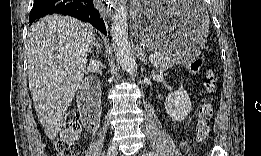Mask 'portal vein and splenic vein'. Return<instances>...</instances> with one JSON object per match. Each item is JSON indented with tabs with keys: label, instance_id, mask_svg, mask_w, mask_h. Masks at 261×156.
<instances>
[{
	"label": "portal vein and splenic vein",
	"instance_id": "18ae733b",
	"mask_svg": "<svg viewBox=\"0 0 261 156\" xmlns=\"http://www.w3.org/2000/svg\"><path fill=\"white\" fill-rule=\"evenodd\" d=\"M155 59H156V55H155V54L149 55V60H150V61H153V60H155Z\"/></svg>",
	"mask_w": 261,
	"mask_h": 156
}]
</instances>
